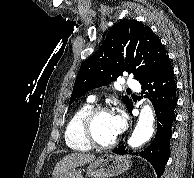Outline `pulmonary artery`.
Segmentation results:
<instances>
[{"label":"pulmonary artery","mask_w":194,"mask_h":178,"mask_svg":"<svg viewBox=\"0 0 194 178\" xmlns=\"http://www.w3.org/2000/svg\"><path fill=\"white\" fill-rule=\"evenodd\" d=\"M126 85L129 87V88H132V89H135V90H138L139 89V84L136 80L132 79V78H129L126 80ZM95 98L94 97H91L90 98V101H94Z\"/></svg>","instance_id":"1"}]
</instances>
